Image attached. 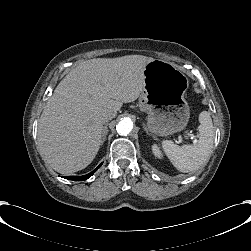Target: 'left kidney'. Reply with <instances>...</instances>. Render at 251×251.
I'll use <instances>...</instances> for the list:
<instances>
[{
	"mask_svg": "<svg viewBox=\"0 0 251 251\" xmlns=\"http://www.w3.org/2000/svg\"><path fill=\"white\" fill-rule=\"evenodd\" d=\"M151 152L159 160H162L165 157L160 145L157 143H153L151 145Z\"/></svg>",
	"mask_w": 251,
	"mask_h": 251,
	"instance_id": "obj_1",
	"label": "left kidney"
}]
</instances>
